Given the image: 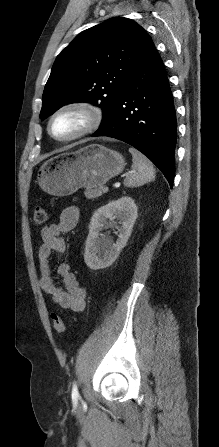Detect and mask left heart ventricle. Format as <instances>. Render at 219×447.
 Instances as JSON below:
<instances>
[{"mask_svg":"<svg viewBox=\"0 0 219 447\" xmlns=\"http://www.w3.org/2000/svg\"><path fill=\"white\" fill-rule=\"evenodd\" d=\"M85 123L79 112H67L58 116L52 123V132L58 137L69 136L78 131Z\"/></svg>","mask_w":219,"mask_h":447,"instance_id":"1","label":"left heart ventricle"}]
</instances>
